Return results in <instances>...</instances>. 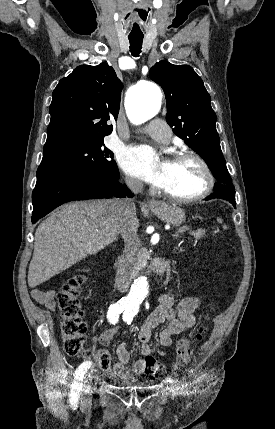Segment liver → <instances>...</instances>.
Returning <instances> with one entry per match:
<instances>
[{"mask_svg":"<svg viewBox=\"0 0 275 429\" xmlns=\"http://www.w3.org/2000/svg\"><path fill=\"white\" fill-rule=\"evenodd\" d=\"M118 199L73 202L61 206L36 229L28 284L36 287L116 240ZM135 230L139 227L136 214Z\"/></svg>","mask_w":275,"mask_h":429,"instance_id":"obj_1","label":"liver"}]
</instances>
